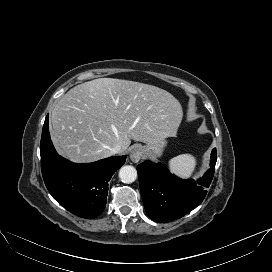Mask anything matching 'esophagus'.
I'll return each mask as SVG.
<instances>
[{
  "label": "esophagus",
  "instance_id": "34e87169",
  "mask_svg": "<svg viewBox=\"0 0 272 272\" xmlns=\"http://www.w3.org/2000/svg\"><path fill=\"white\" fill-rule=\"evenodd\" d=\"M143 158V149L140 146H135L130 152V159L137 163Z\"/></svg>",
  "mask_w": 272,
  "mask_h": 272
}]
</instances>
